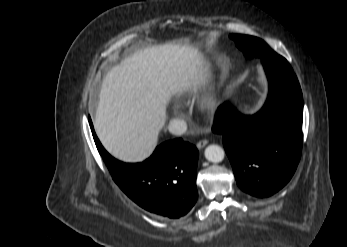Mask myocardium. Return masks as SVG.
Masks as SVG:
<instances>
[{
  "mask_svg": "<svg viewBox=\"0 0 347 247\" xmlns=\"http://www.w3.org/2000/svg\"><path fill=\"white\" fill-rule=\"evenodd\" d=\"M217 96L214 92H208L201 100V108L206 113H212L217 107Z\"/></svg>",
  "mask_w": 347,
  "mask_h": 247,
  "instance_id": "obj_1",
  "label": "myocardium"
}]
</instances>
